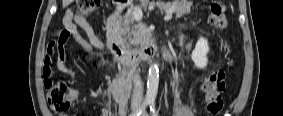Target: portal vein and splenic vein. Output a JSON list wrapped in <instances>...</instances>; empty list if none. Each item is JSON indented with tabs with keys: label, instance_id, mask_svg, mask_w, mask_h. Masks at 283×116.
Returning <instances> with one entry per match:
<instances>
[{
	"label": "portal vein and splenic vein",
	"instance_id": "portal-vein-and-splenic-vein-1",
	"mask_svg": "<svg viewBox=\"0 0 283 116\" xmlns=\"http://www.w3.org/2000/svg\"><path fill=\"white\" fill-rule=\"evenodd\" d=\"M173 12L170 10L166 13L165 17H164V21H169L172 19L173 17ZM133 16H134V19L135 20H141L142 17H143V13H142V10L140 8H135L134 11H133Z\"/></svg>",
	"mask_w": 283,
	"mask_h": 116
}]
</instances>
